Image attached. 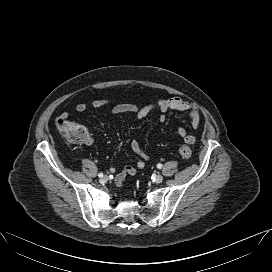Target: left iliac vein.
I'll use <instances>...</instances> for the list:
<instances>
[{"mask_svg": "<svg viewBox=\"0 0 272 272\" xmlns=\"http://www.w3.org/2000/svg\"><path fill=\"white\" fill-rule=\"evenodd\" d=\"M163 181V176L162 175H157L156 177H155V182L156 183H161Z\"/></svg>", "mask_w": 272, "mask_h": 272, "instance_id": "obj_1", "label": "left iliac vein"}]
</instances>
